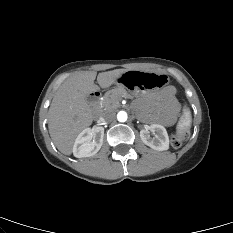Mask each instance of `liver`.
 <instances>
[{
    "label": "liver",
    "instance_id": "liver-1",
    "mask_svg": "<svg viewBox=\"0 0 233 233\" xmlns=\"http://www.w3.org/2000/svg\"><path fill=\"white\" fill-rule=\"evenodd\" d=\"M126 69L101 72L97 82L103 89L112 86ZM97 73L83 71L68 78L57 90L48 112V128L57 149L71 155L77 135L93 122L92 109L87 97L99 89L94 84Z\"/></svg>",
    "mask_w": 233,
    "mask_h": 233
}]
</instances>
